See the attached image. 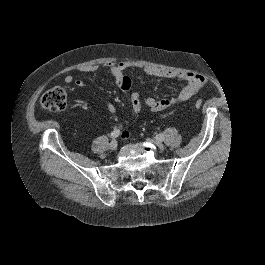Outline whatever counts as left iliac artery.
Masks as SVG:
<instances>
[{
  "label": "left iliac artery",
  "mask_w": 265,
  "mask_h": 265,
  "mask_svg": "<svg viewBox=\"0 0 265 265\" xmlns=\"http://www.w3.org/2000/svg\"><path fill=\"white\" fill-rule=\"evenodd\" d=\"M156 140H158V141H163V139H164V135L163 134H158V135H156Z\"/></svg>",
  "instance_id": "obj_1"
}]
</instances>
